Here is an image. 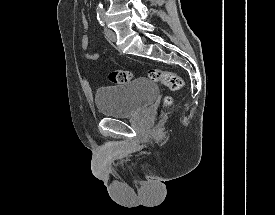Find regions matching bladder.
<instances>
[{
	"label": "bladder",
	"mask_w": 275,
	"mask_h": 215,
	"mask_svg": "<svg viewBox=\"0 0 275 215\" xmlns=\"http://www.w3.org/2000/svg\"><path fill=\"white\" fill-rule=\"evenodd\" d=\"M159 89L148 78L140 77L124 84L99 89L95 103L99 114L110 118H129L148 107Z\"/></svg>",
	"instance_id": "bladder-1"
}]
</instances>
